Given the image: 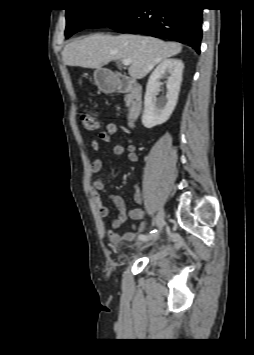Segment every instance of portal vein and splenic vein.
<instances>
[{
	"label": "portal vein and splenic vein",
	"instance_id": "18ae733b",
	"mask_svg": "<svg viewBox=\"0 0 254 355\" xmlns=\"http://www.w3.org/2000/svg\"><path fill=\"white\" fill-rule=\"evenodd\" d=\"M131 60L130 59H123L122 60V64L124 65V66H129L130 64H131Z\"/></svg>",
	"mask_w": 254,
	"mask_h": 355
}]
</instances>
